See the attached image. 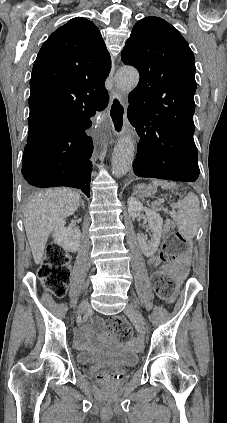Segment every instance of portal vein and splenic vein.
<instances>
[{"mask_svg": "<svg viewBox=\"0 0 227 423\" xmlns=\"http://www.w3.org/2000/svg\"><path fill=\"white\" fill-rule=\"evenodd\" d=\"M165 203V200L164 199H160L159 200V205H162V204H164Z\"/></svg>", "mask_w": 227, "mask_h": 423, "instance_id": "1", "label": "portal vein and splenic vein"}]
</instances>
